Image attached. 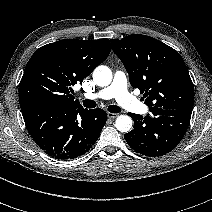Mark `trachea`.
Here are the masks:
<instances>
[{
    "mask_svg": "<svg viewBox=\"0 0 212 212\" xmlns=\"http://www.w3.org/2000/svg\"><path fill=\"white\" fill-rule=\"evenodd\" d=\"M83 105L86 108H95L96 102L93 100L86 99L83 101ZM108 111L111 113H119V112H121V108L116 105H110V106H108Z\"/></svg>",
    "mask_w": 212,
    "mask_h": 212,
    "instance_id": "trachea-1",
    "label": "trachea"
}]
</instances>
